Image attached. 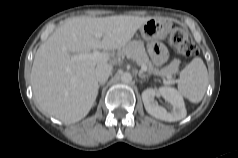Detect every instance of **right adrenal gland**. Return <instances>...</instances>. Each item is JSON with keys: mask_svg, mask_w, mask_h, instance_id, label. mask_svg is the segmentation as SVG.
Listing matches in <instances>:
<instances>
[{"mask_svg": "<svg viewBox=\"0 0 238 158\" xmlns=\"http://www.w3.org/2000/svg\"><path fill=\"white\" fill-rule=\"evenodd\" d=\"M105 85V83H99L98 84V88L100 87V86H104Z\"/></svg>", "mask_w": 238, "mask_h": 158, "instance_id": "right-adrenal-gland-1", "label": "right adrenal gland"}]
</instances>
